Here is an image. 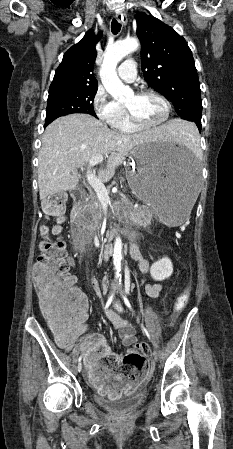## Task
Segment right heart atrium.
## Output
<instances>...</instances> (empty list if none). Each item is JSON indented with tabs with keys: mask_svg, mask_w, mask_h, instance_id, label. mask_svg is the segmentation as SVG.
I'll return each instance as SVG.
<instances>
[{
	"mask_svg": "<svg viewBox=\"0 0 233 449\" xmlns=\"http://www.w3.org/2000/svg\"><path fill=\"white\" fill-rule=\"evenodd\" d=\"M93 109L98 118L105 123H111L118 114V104L111 100L107 91L99 86L92 99Z\"/></svg>",
	"mask_w": 233,
	"mask_h": 449,
	"instance_id": "d8ad5b80",
	"label": "right heart atrium"
}]
</instances>
